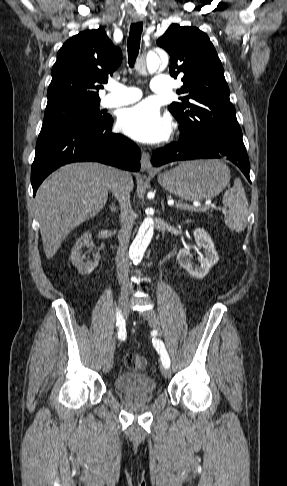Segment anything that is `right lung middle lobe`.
Segmentation results:
<instances>
[{"label":"right lung middle lobe","instance_id":"obj_1","mask_svg":"<svg viewBox=\"0 0 287 486\" xmlns=\"http://www.w3.org/2000/svg\"><path fill=\"white\" fill-rule=\"evenodd\" d=\"M99 103L100 100H84L46 107L40 134L101 123L106 115L99 110Z\"/></svg>","mask_w":287,"mask_h":486}]
</instances>
